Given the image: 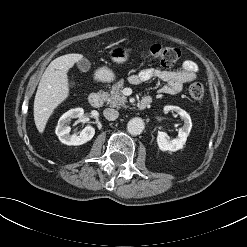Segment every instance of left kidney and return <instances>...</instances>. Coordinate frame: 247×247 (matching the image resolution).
Instances as JSON below:
<instances>
[{
  "label": "left kidney",
  "mask_w": 247,
  "mask_h": 247,
  "mask_svg": "<svg viewBox=\"0 0 247 247\" xmlns=\"http://www.w3.org/2000/svg\"><path fill=\"white\" fill-rule=\"evenodd\" d=\"M165 111L172 110L180 115V117L184 120V125L178 131V136L176 138L171 139L167 133L158 131L157 135V144L159 149L162 151H171L175 152L183 149L187 137L192 128V122L190 115L183 109L177 106H166L164 108Z\"/></svg>",
  "instance_id": "1"
}]
</instances>
